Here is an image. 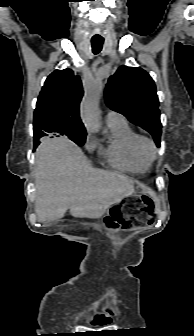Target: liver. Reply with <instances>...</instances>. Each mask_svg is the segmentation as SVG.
Instances as JSON below:
<instances>
[{"label": "liver", "mask_w": 194, "mask_h": 336, "mask_svg": "<svg viewBox=\"0 0 194 336\" xmlns=\"http://www.w3.org/2000/svg\"><path fill=\"white\" fill-rule=\"evenodd\" d=\"M35 211L41 222L73 217L100 218L134 193L126 175L93 168L82 150L66 138L44 140L36 150Z\"/></svg>", "instance_id": "1"}]
</instances>
